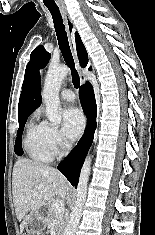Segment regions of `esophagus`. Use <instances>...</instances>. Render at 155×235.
<instances>
[{
  "instance_id": "esophagus-1",
  "label": "esophagus",
  "mask_w": 155,
  "mask_h": 235,
  "mask_svg": "<svg viewBox=\"0 0 155 235\" xmlns=\"http://www.w3.org/2000/svg\"><path fill=\"white\" fill-rule=\"evenodd\" d=\"M61 14L64 20V24L66 26V31H67V35H68V40H69V45H70V49L73 55V58L75 60V64H76V68L81 76V67L79 65V61H78V57H77V51H76V45H75V25L72 21V19L70 18L68 12L66 11V9H61ZM82 81V79H81Z\"/></svg>"
}]
</instances>
